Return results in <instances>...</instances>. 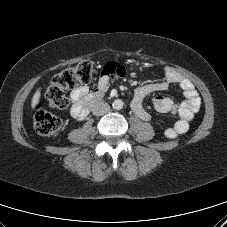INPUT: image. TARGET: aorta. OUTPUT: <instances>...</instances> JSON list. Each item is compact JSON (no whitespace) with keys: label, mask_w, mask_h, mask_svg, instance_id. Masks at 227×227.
I'll use <instances>...</instances> for the list:
<instances>
[{"label":"aorta","mask_w":227,"mask_h":227,"mask_svg":"<svg viewBox=\"0 0 227 227\" xmlns=\"http://www.w3.org/2000/svg\"><path fill=\"white\" fill-rule=\"evenodd\" d=\"M123 105H124V103H123V101L120 100V99H117V100H115V101L113 102V108L116 109V110L122 109V108H123Z\"/></svg>","instance_id":"aorta-1"}]
</instances>
